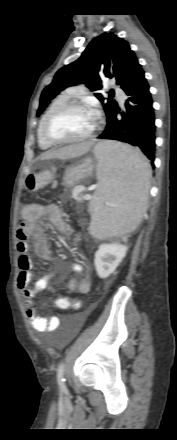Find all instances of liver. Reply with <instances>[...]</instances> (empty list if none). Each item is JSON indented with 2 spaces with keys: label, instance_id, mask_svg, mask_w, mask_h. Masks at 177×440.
Segmentation results:
<instances>
[{
  "label": "liver",
  "instance_id": "6515ba94",
  "mask_svg": "<svg viewBox=\"0 0 177 440\" xmlns=\"http://www.w3.org/2000/svg\"><path fill=\"white\" fill-rule=\"evenodd\" d=\"M93 145V141H85L82 143L68 145L55 151L46 152L43 156V159H70L79 157L87 153Z\"/></svg>",
  "mask_w": 177,
  "mask_h": 440
}]
</instances>
